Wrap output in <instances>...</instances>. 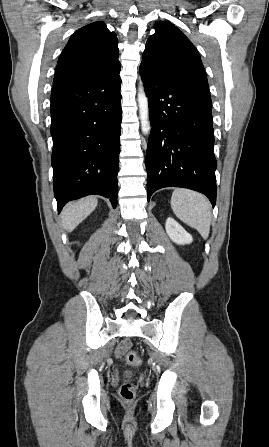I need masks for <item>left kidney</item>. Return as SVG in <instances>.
I'll return each instance as SVG.
<instances>
[{"mask_svg": "<svg viewBox=\"0 0 269 447\" xmlns=\"http://www.w3.org/2000/svg\"><path fill=\"white\" fill-rule=\"evenodd\" d=\"M165 227L170 239L175 243H191L193 241L192 235L173 218H167Z\"/></svg>", "mask_w": 269, "mask_h": 447, "instance_id": "obj_1", "label": "left kidney"}]
</instances>
